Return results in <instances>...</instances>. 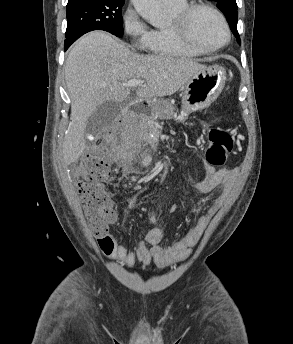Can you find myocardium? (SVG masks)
Instances as JSON below:
<instances>
[{
	"mask_svg": "<svg viewBox=\"0 0 293 344\" xmlns=\"http://www.w3.org/2000/svg\"><path fill=\"white\" fill-rule=\"evenodd\" d=\"M207 10L210 11L211 13H213L221 22V24L224 27L225 33H226V39L225 41L216 46V47H212V48H206V47H202L200 45H198L192 38L190 31H189V24H190V20L193 16V14L197 11V10ZM170 29L173 33V35L183 44L185 45L187 48L200 53V54H211V53H215L218 52L220 50H222L223 48H225L231 41V29L229 27V24L225 18V16L222 14V12L220 10H218L216 7H214L211 4L208 3H203V2H199V3H194V4H190L187 7H185L184 9H182L179 13H177L170 22Z\"/></svg>",
	"mask_w": 293,
	"mask_h": 344,
	"instance_id": "f54148a6",
	"label": "myocardium"
}]
</instances>
